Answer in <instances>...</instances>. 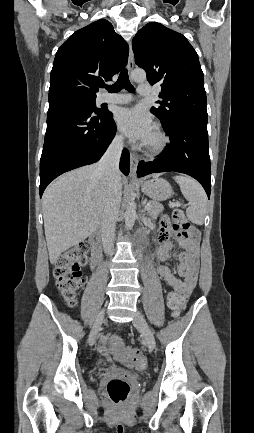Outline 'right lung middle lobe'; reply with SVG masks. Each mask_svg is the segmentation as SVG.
<instances>
[{
	"mask_svg": "<svg viewBox=\"0 0 254 433\" xmlns=\"http://www.w3.org/2000/svg\"><path fill=\"white\" fill-rule=\"evenodd\" d=\"M95 99L96 98H93V99H71V101H74V102L86 105V106L90 107L95 112H102V111H104L102 109L96 108V106H95Z\"/></svg>",
	"mask_w": 254,
	"mask_h": 433,
	"instance_id": "obj_1",
	"label": "right lung middle lobe"
}]
</instances>
